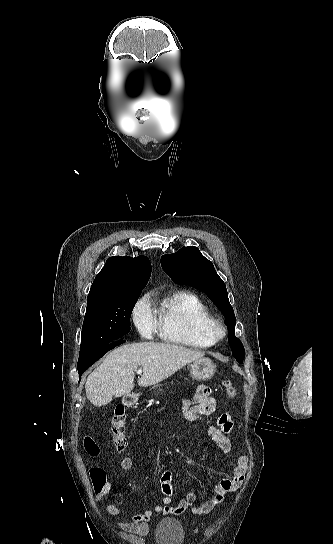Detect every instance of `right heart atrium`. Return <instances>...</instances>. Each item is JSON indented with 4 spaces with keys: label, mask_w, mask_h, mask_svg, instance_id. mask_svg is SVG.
I'll list each match as a JSON object with an SVG mask.
<instances>
[{
    "label": "right heart atrium",
    "mask_w": 333,
    "mask_h": 544,
    "mask_svg": "<svg viewBox=\"0 0 333 544\" xmlns=\"http://www.w3.org/2000/svg\"><path fill=\"white\" fill-rule=\"evenodd\" d=\"M133 321L139 333L151 338L158 328L157 318L147 299L140 300L133 311Z\"/></svg>",
    "instance_id": "1"
}]
</instances>
